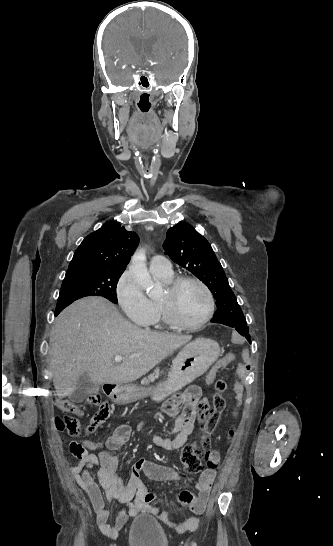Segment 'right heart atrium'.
<instances>
[{"instance_id": "right-heart-atrium-1", "label": "right heart atrium", "mask_w": 333, "mask_h": 546, "mask_svg": "<svg viewBox=\"0 0 333 546\" xmlns=\"http://www.w3.org/2000/svg\"><path fill=\"white\" fill-rule=\"evenodd\" d=\"M115 298L125 316L145 325L153 316V305L143 293L131 271H125L115 285Z\"/></svg>"}]
</instances>
